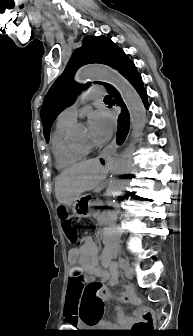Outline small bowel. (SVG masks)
<instances>
[{"label": "small bowel", "instance_id": "1", "mask_svg": "<svg viewBox=\"0 0 193 336\" xmlns=\"http://www.w3.org/2000/svg\"><path fill=\"white\" fill-rule=\"evenodd\" d=\"M114 255L115 251L111 247L105 248L99 254L96 242L92 237L85 238L80 247L70 250L68 255L70 277L67 290V305L64 310V316L68 323H73L78 319V306L80 303L78 281L81 277L77 273L82 272L87 277H96L101 282H108L110 286H115L119 282V271L116 263L112 261ZM118 298L124 301H133V289L128 286L123 293L118 295ZM114 314L119 324L133 319L128 317L120 307L115 308ZM100 322L103 325L108 324L106 321Z\"/></svg>", "mask_w": 193, "mask_h": 336}]
</instances>
